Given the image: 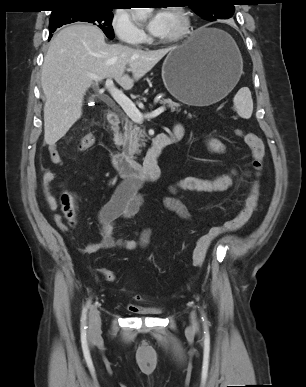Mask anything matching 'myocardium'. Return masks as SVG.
Here are the masks:
<instances>
[{
  "label": "myocardium",
  "instance_id": "1",
  "mask_svg": "<svg viewBox=\"0 0 306 387\" xmlns=\"http://www.w3.org/2000/svg\"><path fill=\"white\" fill-rule=\"evenodd\" d=\"M167 11H170L179 17V20H180L179 29L173 35L167 38H161L159 41L165 44L176 43L186 38L187 35L189 34L190 26H191V18L187 10L180 6H174V7L168 8Z\"/></svg>",
  "mask_w": 306,
  "mask_h": 387
}]
</instances>
